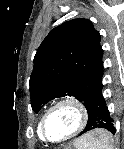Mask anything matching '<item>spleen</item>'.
I'll return each mask as SVG.
<instances>
[{"instance_id": "1", "label": "spleen", "mask_w": 124, "mask_h": 149, "mask_svg": "<svg viewBox=\"0 0 124 149\" xmlns=\"http://www.w3.org/2000/svg\"><path fill=\"white\" fill-rule=\"evenodd\" d=\"M109 137L104 131H101L98 136L91 137L83 142L81 149H112L108 143Z\"/></svg>"}]
</instances>
